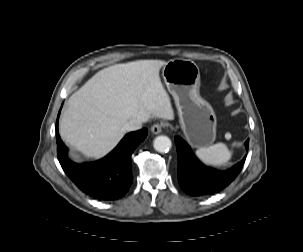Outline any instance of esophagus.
I'll list each match as a JSON object with an SVG mask.
<instances>
[{"label": "esophagus", "instance_id": "34e87169", "mask_svg": "<svg viewBox=\"0 0 303 252\" xmlns=\"http://www.w3.org/2000/svg\"><path fill=\"white\" fill-rule=\"evenodd\" d=\"M162 129H163V125L160 123H156L151 127V132L153 134H159L162 132Z\"/></svg>", "mask_w": 303, "mask_h": 252}]
</instances>
